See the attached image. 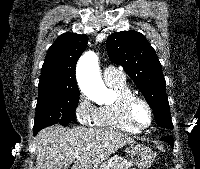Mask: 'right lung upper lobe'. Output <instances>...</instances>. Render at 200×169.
Segmentation results:
<instances>
[{"label":"right lung upper lobe","mask_w":200,"mask_h":169,"mask_svg":"<svg viewBox=\"0 0 200 169\" xmlns=\"http://www.w3.org/2000/svg\"><path fill=\"white\" fill-rule=\"evenodd\" d=\"M87 36L64 33L48 49L42 66L39 94L79 91L75 78L76 63L87 45Z\"/></svg>","instance_id":"cb5924a9"}]
</instances>
